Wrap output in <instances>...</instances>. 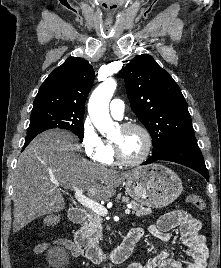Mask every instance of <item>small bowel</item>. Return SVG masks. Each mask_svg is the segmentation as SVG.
Wrapping results in <instances>:
<instances>
[{"label":"small bowel","instance_id":"obj_1","mask_svg":"<svg viewBox=\"0 0 221 268\" xmlns=\"http://www.w3.org/2000/svg\"><path fill=\"white\" fill-rule=\"evenodd\" d=\"M140 238L145 231L160 240L161 250L146 264L132 263L127 268H206L209 256L206 238L200 233L201 222L184 210H174L163 214L155 224L147 228H134ZM177 229L185 248L184 262L171 257L173 242L172 230ZM52 244H59L71 251L75 256L79 253L74 243L69 239H58L52 243L42 242L35 246L34 252L42 254Z\"/></svg>","mask_w":221,"mask_h":268}]
</instances>
